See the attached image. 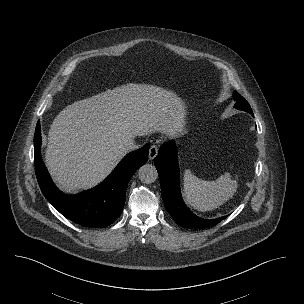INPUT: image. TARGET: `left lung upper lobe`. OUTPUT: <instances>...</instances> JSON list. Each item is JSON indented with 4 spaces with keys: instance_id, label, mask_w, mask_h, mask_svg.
Masks as SVG:
<instances>
[{
    "instance_id": "left-lung-upper-lobe-1",
    "label": "left lung upper lobe",
    "mask_w": 304,
    "mask_h": 304,
    "mask_svg": "<svg viewBox=\"0 0 304 304\" xmlns=\"http://www.w3.org/2000/svg\"><path fill=\"white\" fill-rule=\"evenodd\" d=\"M234 99L237 101L234 106L236 109L249 112L251 115H253L252 109L248 102L243 97H241L236 91H234Z\"/></svg>"
}]
</instances>
